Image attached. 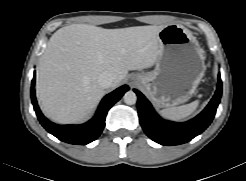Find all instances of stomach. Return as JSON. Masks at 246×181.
Segmentation results:
<instances>
[{"label": "stomach", "mask_w": 246, "mask_h": 181, "mask_svg": "<svg viewBox=\"0 0 246 181\" xmlns=\"http://www.w3.org/2000/svg\"><path fill=\"white\" fill-rule=\"evenodd\" d=\"M160 54L154 70L134 77L157 107L187 102L205 73L203 50L182 25L170 24L159 32Z\"/></svg>", "instance_id": "obj_1"}]
</instances>
